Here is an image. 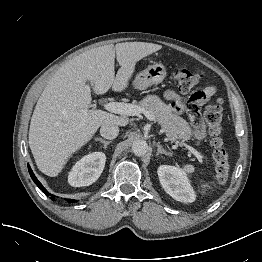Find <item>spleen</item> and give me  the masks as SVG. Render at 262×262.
I'll return each mask as SVG.
<instances>
[{
    "label": "spleen",
    "mask_w": 262,
    "mask_h": 262,
    "mask_svg": "<svg viewBox=\"0 0 262 262\" xmlns=\"http://www.w3.org/2000/svg\"><path fill=\"white\" fill-rule=\"evenodd\" d=\"M184 170L187 173H193L195 171V167L193 165L187 164V165H184Z\"/></svg>",
    "instance_id": "spleen-1"
}]
</instances>
